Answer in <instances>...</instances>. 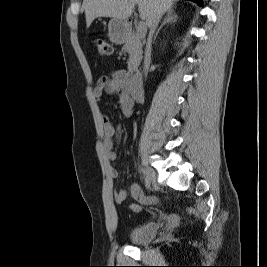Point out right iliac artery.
<instances>
[{
  "label": "right iliac artery",
  "mask_w": 267,
  "mask_h": 267,
  "mask_svg": "<svg viewBox=\"0 0 267 267\" xmlns=\"http://www.w3.org/2000/svg\"><path fill=\"white\" fill-rule=\"evenodd\" d=\"M142 172H143V175H144V183H145V186H146V188H147L148 190H150V189H151V181H150V179L146 176L144 170H142Z\"/></svg>",
  "instance_id": "1"
}]
</instances>
